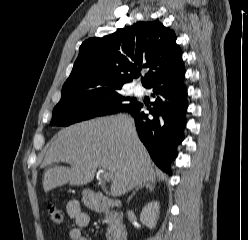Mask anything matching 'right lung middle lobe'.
<instances>
[{
    "instance_id": "obj_1",
    "label": "right lung middle lobe",
    "mask_w": 248,
    "mask_h": 240,
    "mask_svg": "<svg viewBox=\"0 0 248 240\" xmlns=\"http://www.w3.org/2000/svg\"><path fill=\"white\" fill-rule=\"evenodd\" d=\"M119 90L63 89L61 100L53 109L51 125L68 126L132 107L136 101L123 97Z\"/></svg>"
}]
</instances>
